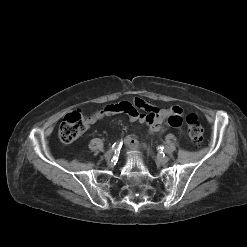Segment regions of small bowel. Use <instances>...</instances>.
I'll list each match as a JSON object with an SVG mask.
<instances>
[{
	"instance_id": "c3829d8e",
	"label": "small bowel",
	"mask_w": 247,
	"mask_h": 247,
	"mask_svg": "<svg viewBox=\"0 0 247 247\" xmlns=\"http://www.w3.org/2000/svg\"><path fill=\"white\" fill-rule=\"evenodd\" d=\"M140 109L146 111V113L140 112ZM119 113L126 114L133 122L146 124L151 134L162 133L169 126L180 129L182 125L183 110L181 107L172 106L158 109L141 98L109 104L96 110L86 118L87 125H92L105 117ZM125 143L131 148L139 146V141L135 136H127Z\"/></svg>"
}]
</instances>
